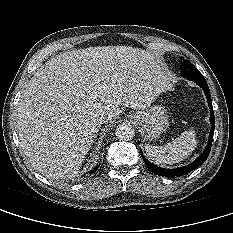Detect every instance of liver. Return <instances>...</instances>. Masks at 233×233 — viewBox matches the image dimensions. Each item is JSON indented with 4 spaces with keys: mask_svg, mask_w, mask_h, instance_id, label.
<instances>
[{
    "mask_svg": "<svg viewBox=\"0 0 233 233\" xmlns=\"http://www.w3.org/2000/svg\"><path fill=\"white\" fill-rule=\"evenodd\" d=\"M155 57L130 46H98L47 61L23 90L17 112L21 147L48 179L73 178L101 127L143 110L169 88Z\"/></svg>",
    "mask_w": 233,
    "mask_h": 233,
    "instance_id": "liver-1",
    "label": "liver"
}]
</instances>
